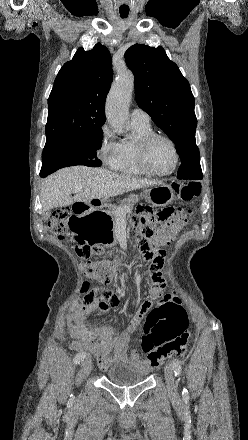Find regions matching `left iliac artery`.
I'll return each mask as SVG.
<instances>
[{
	"mask_svg": "<svg viewBox=\"0 0 248 440\" xmlns=\"http://www.w3.org/2000/svg\"><path fill=\"white\" fill-rule=\"evenodd\" d=\"M171 366L173 368L175 376L179 377V375H181V372H182V366L180 364V361L178 359H173L171 362ZM182 394H183L184 398H187L188 397L187 389L184 388Z\"/></svg>",
	"mask_w": 248,
	"mask_h": 440,
	"instance_id": "obj_1",
	"label": "left iliac artery"
}]
</instances>
